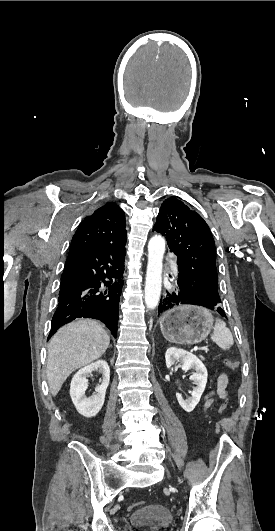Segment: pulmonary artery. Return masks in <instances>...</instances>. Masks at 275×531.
<instances>
[{"instance_id":"1","label":"pulmonary artery","mask_w":275,"mask_h":531,"mask_svg":"<svg viewBox=\"0 0 275 531\" xmlns=\"http://www.w3.org/2000/svg\"><path fill=\"white\" fill-rule=\"evenodd\" d=\"M178 267H179V262L177 260H172L170 262V266L168 268L169 273L172 274V275L177 274L178 271H179Z\"/></svg>"}]
</instances>
